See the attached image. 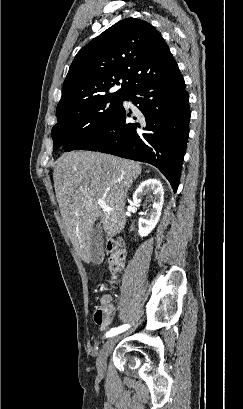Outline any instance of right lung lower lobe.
<instances>
[{"label": "right lung lower lobe", "instance_id": "obj_1", "mask_svg": "<svg viewBox=\"0 0 243 409\" xmlns=\"http://www.w3.org/2000/svg\"><path fill=\"white\" fill-rule=\"evenodd\" d=\"M124 100L142 113L139 122L128 123L124 107L102 131L86 137L75 149L113 154L157 167L174 192L178 188L189 135V95L179 71L140 84ZM135 120L136 117H133Z\"/></svg>", "mask_w": 243, "mask_h": 409}]
</instances>
